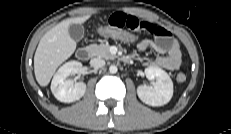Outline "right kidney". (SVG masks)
<instances>
[{
	"label": "right kidney",
	"instance_id": "right-kidney-1",
	"mask_svg": "<svg viewBox=\"0 0 231 134\" xmlns=\"http://www.w3.org/2000/svg\"><path fill=\"white\" fill-rule=\"evenodd\" d=\"M82 69V64L78 61H69L62 65L51 82V91L60 102L71 103L79 100L86 91V84L75 83L73 80H66L69 75H75Z\"/></svg>",
	"mask_w": 231,
	"mask_h": 134
}]
</instances>
